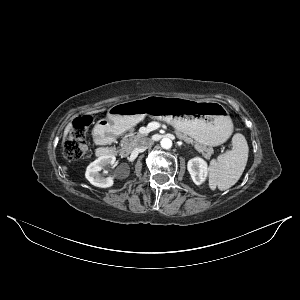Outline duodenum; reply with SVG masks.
<instances>
[{
	"mask_svg": "<svg viewBox=\"0 0 300 300\" xmlns=\"http://www.w3.org/2000/svg\"><path fill=\"white\" fill-rule=\"evenodd\" d=\"M93 140L98 146V153L100 156L116 155L117 150L111 145V135L106 129L95 130Z\"/></svg>",
	"mask_w": 300,
	"mask_h": 300,
	"instance_id": "obj_1",
	"label": "duodenum"
}]
</instances>
